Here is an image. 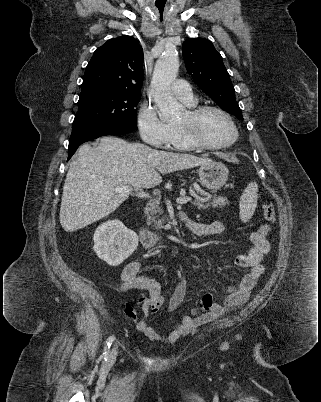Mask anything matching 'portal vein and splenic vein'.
Returning a JSON list of instances; mask_svg holds the SVG:
<instances>
[{"label":"portal vein and splenic vein","mask_w":321,"mask_h":402,"mask_svg":"<svg viewBox=\"0 0 321 402\" xmlns=\"http://www.w3.org/2000/svg\"><path fill=\"white\" fill-rule=\"evenodd\" d=\"M116 192H124V193H131L132 189L129 186H122V187H117L115 189ZM138 197H149V194L145 193V192H140L137 194ZM192 200L191 197L189 196H184V197H179L177 198L176 202L177 204H186L188 202H190Z\"/></svg>","instance_id":"1"}]
</instances>
